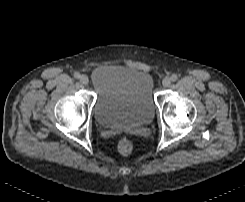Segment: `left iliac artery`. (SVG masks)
Returning <instances> with one entry per match:
<instances>
[{
    "label": "left iliac artery",
    "mask_w": 245,
    "mask_h": 202,
    "mask_svg": "<svg viewBox=\"0 0 245 202\" xmlns=\"http://www.w3.org/2000/svg\"><path fill=\"white\" fill-rule=\"evenodd\" d=\"M177 79H178V76H177L176 74H173V75L171 76V80H172V81H177Z\"/></svg>",
    "instance_id": "left-iliac-artery-1"
}]
</instances>
